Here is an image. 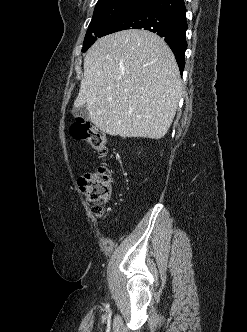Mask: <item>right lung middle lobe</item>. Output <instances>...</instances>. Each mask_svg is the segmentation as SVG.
Returning <instances> with one entry per match:
<instances>
[{"mask_svg":"<svg viewBox=\"0 0 247 332\" xmlns=\"http://www.w3.org/2000/svg\"><path fill=\"white\" fill-rule=\"evenodd\" d=\"M147 0H99L89 24L82 52L99 38L105 29L118 18L145 3Z\"/></svg>","mask_w":247,"mask_h":332,"instance_id":"obj_1","label":"right lung middle lobe"}]
</instances>
